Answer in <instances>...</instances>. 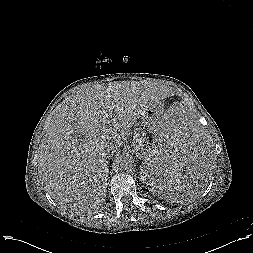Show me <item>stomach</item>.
<instances>
[{
	"label": "stomach",
	"mask_w": 253,
	"mask_h": 253,
	"mask_svg": "<svg viewBox=\"0 0 253 253\" xmlns=\"http://www.w3.org/2000/svg\"><path fill=\"white\" fill-rule=\"evenodd\" d=\"M165 114L163 110L156 105L149 108L145 114L142 116V126L148 132L155 133L160 126V122L163 119Z\"/></svg>",
	"instance_id": "1"
}]
</instances>
